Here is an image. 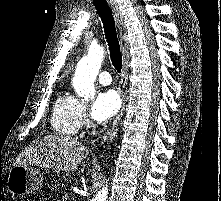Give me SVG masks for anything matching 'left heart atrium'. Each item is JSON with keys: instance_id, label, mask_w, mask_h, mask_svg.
<instances>
[{"instance_id": "obj_1", "label": "left heart atrium", "mask_w": 221, "mask_h": 201, "mask_svg": "<svg viewBox=\"0 0 221 201\" xmlns=\"http://www.w3.org/2000/svg\"><path fill=\"white\" fill-rule=\"evenodd\" d=\"M120 108V99L113 90L101 91L91 107V116L97 122L113 117Z\"/></svg>"}]
</instances>
